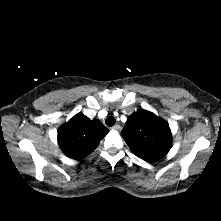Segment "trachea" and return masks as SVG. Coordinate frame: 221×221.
Listing matches in <instances>:
<instances>
[{"label":"trachea","mask_w":221,"mask_h":221,"mask_svg":"<svg viewBox=\"0 0 221 221\" xmlns=\"http://www.w3.org/2000/svg\"><path fill=\"white\" fill-rule=\"evenodd\" d=\"M115 122H116V120L113 116H110L105 120L106 125L109 127L113 126L115 124Z\"/></svg>","instance_id":"3493384b"}]
</instances>
